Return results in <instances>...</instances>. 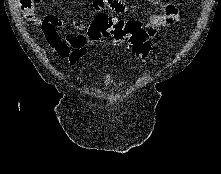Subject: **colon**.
I'll list each match as a JSON object with an SVG mask.
<instances>
[{
	"label": "colon",
	"mask_w": 221,
	"mask_h": 174,
	"mask_svg": "<svg viewBox=\"0 0 221 174\" xmlns=\"http://www.w3.org/2000/svg\"><path fill=\"white\" fill-rule=\"evenodd\" d=\"M41 0H19L20 8L27 20H34ZM87 37L93 41L112 39L125 44L137 58L146 60L151 46L142 23L138 20L124 21L107 14H98L87 29Z\"/></svg>",
	"instance_id": "1"
}]
</instances>
